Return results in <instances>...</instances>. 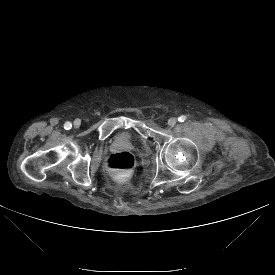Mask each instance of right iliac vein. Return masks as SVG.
I'll return each instance as SVG.
<instances>
[{
  "mask_svg": "<svg viewBox=\"0 0 275 275\" xmlns=\"http://www.w3.org/2000/svg\"><path fill=\"white\" fill-rule=\"evenodd\" d=\"M80 124H81V122H80L79 119H76V120L74 121V127H75V128H79Z\"/></svg>",
  "mask_w": 275,
  "mask_h": 275,
  "instance_id": "obj_1",
  "label": "right iliac vein"
}]
</instances>
